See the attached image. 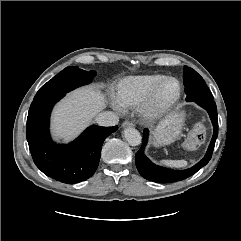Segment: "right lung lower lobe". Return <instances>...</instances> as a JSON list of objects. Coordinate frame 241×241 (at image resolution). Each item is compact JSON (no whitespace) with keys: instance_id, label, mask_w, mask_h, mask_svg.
<instances>
[{"instance_id":"obj_1","label":"right lung lower lobe","mask_w":241,"mask_h":241,"mask_svg":"<svg viewBox=\"0 0 241 241\" xmlns=\"http://www.w3.org/2000/svg\"><path fill=\"white\" fill-rule=\"evenodd\" d=\"M62 96L31 103L26 137L36 166L47 176L63 183L73 184L90 178L96 171L105 138L118 127L92 125L75 141L56 144L49 133L50 113Z\"/></svg>"}]
</instances>
